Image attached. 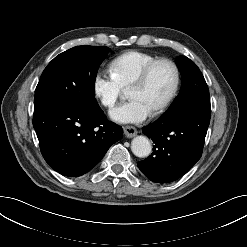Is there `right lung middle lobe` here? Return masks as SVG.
Here are the masks:
<instances>
[{"label":"right lung middle lobe","mask_w":247,"mask_h":247,"mask_svg":"<svg viewBox=\"0 0 247 247\" xmlns=\"http://www.w3.org/2000/svg\"><path fill=\"white\" fill-rule=\"evenodd\" d=\"M104 46H76L56 56L43 71L35 90L34 109L67 100L84 109L99 108L95 79L108 55Z\"/></svg>","instance_id":"1"}]
</instances>
